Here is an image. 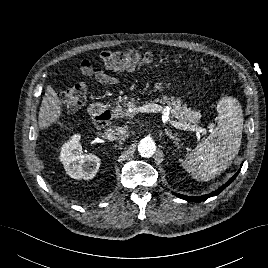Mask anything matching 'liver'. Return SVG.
Here are the masks:
<instances>
[{"label": "liver", "instance_id": "6515ba94", "mask_svg": "<svg viewBox=\"0 0 268 268\" xmlns=\"http://www.w3.org/2000/svg\"><path fill=\"white\" fill-rule=\"evenodd\" d=\"M63 111L62 102L51 85L46 88L45 95L38 116L40 129L50 127L61 116Z\"/></svg>", "mask_w": 268, "mask_h": 268}]
</instances>
